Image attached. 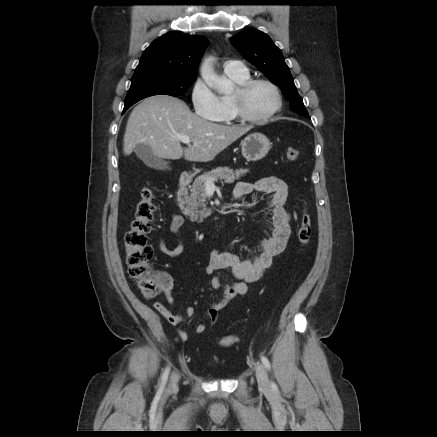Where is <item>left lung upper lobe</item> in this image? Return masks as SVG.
Instances as JSON below:
<instances>
[{
    "mask_svg": "<svg viewBox=\"0 0 437 437\" xmlns=\"http://www.w3.org/2000/svg\"><path fill=\"white\" fill-rule=\"evenodd\" d=\"M231 43L240 54L275 85L290 101V109L309 118L301 96L298 94L289 67L284 61L280 49L265 33L248 29L231 37Z\"/></svg>",
    "mask_w": 437,
    "mask_h": 437,
    "instance_id": "left-lung-upper-lobe-1",
    "label": "left lung upper lobe"
}]
</instances>
